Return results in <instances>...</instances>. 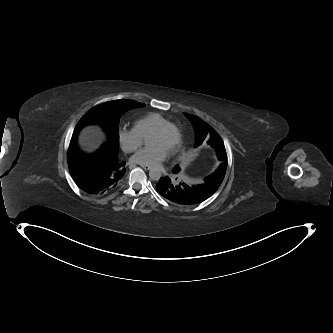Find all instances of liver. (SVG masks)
<instances>
[{
	"mask_svg": "<svg viewBox=\"0 0 333 333\" xmlns=\"http://www.w3.org/2000/svg\"><path fill=\"white\" fill-rule=\"evenodd\" d=\"M104 134L98 126H86L79 135V143L87 152H93L103 142Z\"/></svg>",
	"mask_w": 333,
	"mask_h": 333,
	"instance_id": "liver-1",
	"label": "liver"
}]
</instances>
